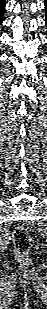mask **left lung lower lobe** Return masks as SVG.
<instances>
[{"instance_id": "obj_1", "label": "left lung lower lobe", "mask_w": 47, "mask_h": 309, "mask_svg": "<svg viewBox=\"0 0 47 309\" xmlns=\"http://www.w3.org/2000/svg\"><path fill=\"white\" fill-rule=\"evenodd\" d=\"M45 8H46V19H47V0H45Z\"/></svg>"}]
</instances>
